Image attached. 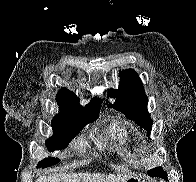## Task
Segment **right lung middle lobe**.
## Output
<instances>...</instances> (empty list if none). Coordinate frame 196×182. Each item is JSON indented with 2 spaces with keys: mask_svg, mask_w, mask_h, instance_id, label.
<instances>
[{
  "mask_svg": "<svg viewBox=\"0 0 196 182\" xmlns=\"http://www.w3.org/2000/svg\"><path fill=\"white\" fill-rule=\"evenodd\" d=\"M99 112L92 116L81 117L69 114L59 113L52 121L53 136L46 141L49 151L66 147L81 129H83L89 121H94L98 117ZM59 162L56 158H47L40 161L37 167H48Z\"/></svg>",
  "mask_w": 196,
  "mask_h": 182,
  "instance_id": "right-lung-middle-lobe-1",
  "label": "right lung middle lobe"
}]
</instances>
